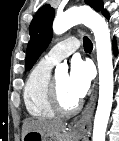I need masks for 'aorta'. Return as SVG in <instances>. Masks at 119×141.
<instances>
[{"instance_id": "aorta-1", "label": "aorta", "mask_w": 119, "mask_h": 141, "mask_svg": "<svg viewBox=\"0 0 119 141\" xmlns=\"http://www.w3.org/2000/svg\"><path fill=\"white\" fill-rule=\"evenodd\" d=\"M80 23L89 27L94 33L99 69V100L94 119L92 141H105L113 102V64L108 25L101 15L90 8H71L56 16L53 22V32L60 35ZM66 70V64H60L56 67V71Z\"/></svg>"}]
</instances>
